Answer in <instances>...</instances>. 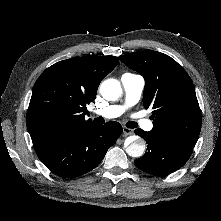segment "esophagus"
Listing matches in <instances>:
<instances>
[{"instance_id": "obj_1", "label": "esophagus", "mask_w": 221, "mask_h": 221, "mask_svg": "<svg viewBox=\"0 0 221 221\" xmlns=\"http://www.w3.org/2000/svg\"><path fill=\"white\" fill-rule=\"evenodd\" d=\"M123 134L124 136L131 135L133 134V130L127 127H123Z\"/></svg>"}]
</instances>
